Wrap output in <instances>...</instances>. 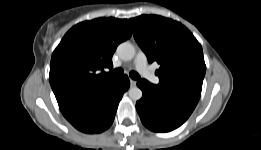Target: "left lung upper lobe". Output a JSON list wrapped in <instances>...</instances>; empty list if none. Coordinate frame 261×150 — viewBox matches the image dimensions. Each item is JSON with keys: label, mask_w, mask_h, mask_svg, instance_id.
I'll return each mask as SVG.
<instances>
[{"label": "left lung upper lobe", "mask_w": 261, "mask_h": 150, "mask_svg": "<svg viewBox=\"0 0 261 150\" xmlns=\"http://www.w3.org/2000/svg\"><path fill=\"white\" fill-rule=\"evenodd\" d=\"M134 37L149 63L160 64L159 84H182L202 90L206 65L200 43L181 23L156 15L129 19Z\"/></svg>", "instance_id": "1"}]
</instances>
